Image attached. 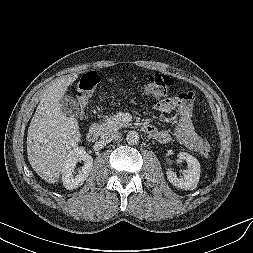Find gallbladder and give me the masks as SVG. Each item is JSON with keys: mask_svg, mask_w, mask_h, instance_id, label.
<instances>
[{"mask_svg": "<svg viewBox=\"0 0 253 253\" xmlns=\"http://www.w3.org/2000/svg\"><path fill=\"white\" fill-rule=\"evenodd\" d=\"M61 109L66 116L76 117L79 114L80 108L77 100L72 97L65 95L60 101Z\"/></svg>", "mask_w": 253, "mask_h": 253, "instance_id": "bac80fb5", "label": "gallbladder"}]
</instances>
